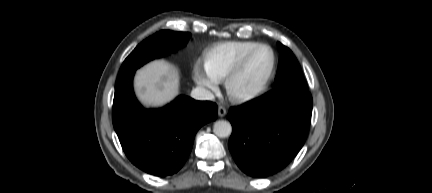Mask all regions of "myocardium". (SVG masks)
Here are the masks:
<instances>
[{"instance_id": "obj_1", "label": "myocardium", "mask_w": 432, "mask_h": 193, "mask_svg": "<svg viewBox=\"0 0 432 193\" xmlns=\"http://www.w3.org/2000/svg\"><path fill=\"white\" fill-rule=\"evenodd\" d=\"M267 48L271 51L272 54V65L271 69L264 81V83L256 90L248 93H240L237 92L233 87V82L236 77L241 73V71L245 68L251 57L260 49ZM277 68V55L275 50L268 44H258L250 51H248L230 70V72L225 77V89L231 101L234 103L242 104L253 101L259 97H261L269 88Z\"/></svg>"}]
</instances>
